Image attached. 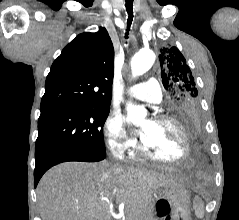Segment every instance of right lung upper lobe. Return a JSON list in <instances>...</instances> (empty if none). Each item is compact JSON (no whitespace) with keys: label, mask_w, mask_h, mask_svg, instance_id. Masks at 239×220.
I'll return each mask as SVG.
<instances>
[{"label":"right lung upper lobe","mask_w":239,"mask_h":220,"mask_svg":"<svg viewBox=\"0 0 239 220\" xmlns=\"http://www.w3.org/2000/svg\"><path fill=\"white\" fill-rule=\"evenodd\" d=\"M113 69L114 47L107 30L79 34L53 62L40 111L109 107Z\"/></svg>","instance_id":"right-lung-upper-lobe-1"}]
</instances>
